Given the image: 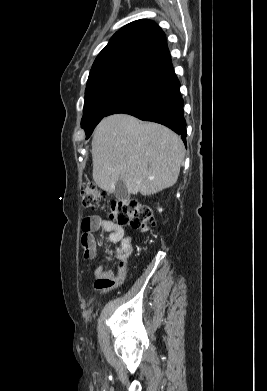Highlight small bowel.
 Returning <instances> with one entry per match:
<instances>
[{
	"instance_id": "obj_1",
	"label": "small bowel",
	"mask_w": 267,
	"mask_h": 391,
	"mask_svg": "<svg viewBox=\"0 0 267 391\" xmlns=\"http://www.w3.org/2000/svg\"><path fill=\"white\" fill-rule=\"evenodd\" d=\"M81 228V243L86 259H93L95 257L96 242L93 236V233L95 232H107V242L119 243V246L116 249L106 250L109 258L114 256L118 260L116 269L112 271L107 270L103 266H98L94 272L95 288L99 291H104L122 283L126 275L127 261L133 251L132 237L126 235L122 226L111 220L104 219L99 215L85 217L82 221Z\"/></svg>"
}]
</instances>
